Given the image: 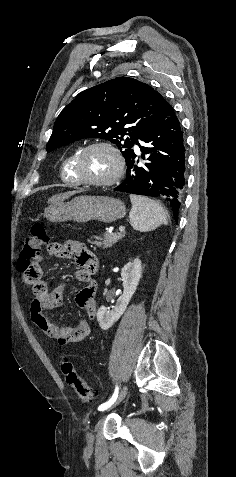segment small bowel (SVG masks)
Listing matches in <instances>:
<instances>
[{
  "instance_id": "1",
  "label": "small bowel",
  "mask_w": 236,
  "mask_h": 477,
  "mask_svg": "<svg viewBox=\"0 0 236 477\" xmlns=\"http://www.w3.org/2000/svg\"><path fill=\"white\" fill-rule=\"evenodd\" d=\"M51 256L59 259H74L77 269L75 278L85 286L76 294L75 303L89 319L95 314V294L97 284L93 276L97 271L98 259L84 244L75 240L64 243H51L48 246ZM42 289L34 293L30 304V313L34 325L45 335L58 340L62 345L78 343L91 333V324L85 317L80 316L75 325L61 324L45 313L46 309L60 306L64 301L66 285L58 284L49 290L45 281L41 282Z\"/></svg>"
}]
</instances>
